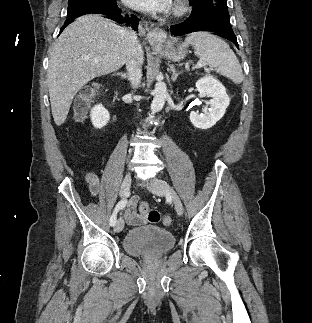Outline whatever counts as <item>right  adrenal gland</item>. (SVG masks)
<instances>
[{"instance_id":"2a0ac1e0","label":"right adrenal gland","mask_w":312,"mask_h":323,"mask_svg":"<svg viewBox=\"0 0 312 323\" xmlns=\"http://www.w3.org/2000/svg\"><path fill=\"white\" fill-rule=\"evenodd\" d=\"M117 76H121L122 80H128L127 74H122V72H119V74H117Z\"/></svg>"}]
</instances>
